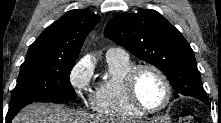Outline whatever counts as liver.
<instances>
[{
	"label": "liver",
	"mask_w": 221,
	"mask_h": 123,
	"mask_svg": "<svg viewBox=\"0 0 221 123\" xmlns=\"http://www.w3.org/2000/svg\"><path fill=\"white\" fill-rule=\"evenodd\" d=\"M103 119L69 110L53 103H33L13 119V123H99Z\"/></svg>",
	"instance_id": "1"
}]
</instances>
